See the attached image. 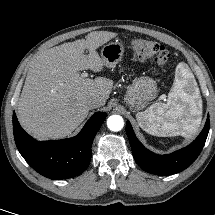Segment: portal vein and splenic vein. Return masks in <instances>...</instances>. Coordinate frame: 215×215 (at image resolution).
<instances>
[{
    "mask_svg": "<svg viewBox=\"0 0 215 215\" xmlns=\"http://www.w3.org/2000/svg\"><path fill=\"white\" fill-rule=\"evenodd\" d=\"M87 76H88V73L85 72V71L81 74V77H82V78H86Z\"/></svg>",
    "mask_w": 215,
    "mask_h": 215,
    "instance_id": "18ae733b",
    "label": "portal vein and splenic vein"
}]
</instances>
